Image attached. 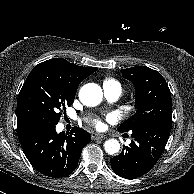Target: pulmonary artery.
<instances>
[{
	"label": "pulmonary artery",
	"instance_id": "e3ab8cb5",
	"mask_svg": "<svg viewBox=\"0 0 194 194\" xmlns=\"http://www.w3.org/2000/svg\"><path fill=\"white\" fill-rule=\"evenodd\" d=\"M103 90H104V95H105L106 99L111 101V102L117 101L121 95V91L119 89H116V88L103 86Z\"/></svg>",
	"mask_w": 194,
	"mask_h": 194
}]
</instances>
